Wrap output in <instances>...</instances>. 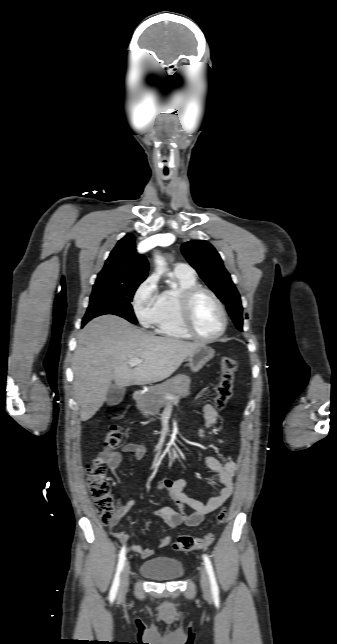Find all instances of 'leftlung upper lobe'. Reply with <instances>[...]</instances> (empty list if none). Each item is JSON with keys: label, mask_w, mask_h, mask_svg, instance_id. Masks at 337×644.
Here are the masks:
<instances>
[{"label": "left lung upper lobe", "mask_w": 337, "mask_h": 644, "mask_svg": "<svg viewBox=\"0 0 337 644\" xmlns=\"http://www.w3.org/2000/svg\"><path fill=\"white\" fill-rule=\"evenodd\" d=\"M181 250L190 265L226 305L237 329L242 331V305L239 293L215 248L204 240L184 243Z\"/></svg>", "instance_id": "5c2ea615"}]
</instances>
